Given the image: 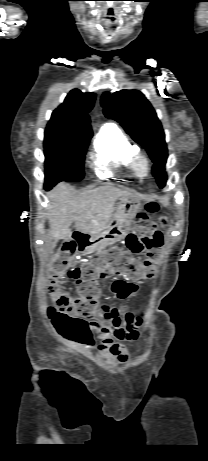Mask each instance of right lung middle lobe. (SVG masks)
I'll return each instance as SVG.
<instances>
[{
    "label": "right lung middle lobe",
    "instance_id": "right-lung-middle-lobe-1",
    "mask_svg": "<svg viewBox=\"0 0 208 461\" xmlns=\"http://www.w3.org/2000/svg\"><path fill=\"white\" fill-rule=\"evenodd\" d=\"M91 134H68L46 128L45 186L61 181L77 182L84 177V158Z\"/></svg>",
    "mask_w": 208,
    "mask_h": 461
}]
</instances>
